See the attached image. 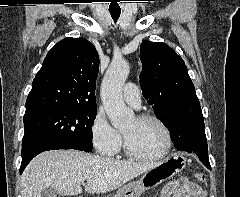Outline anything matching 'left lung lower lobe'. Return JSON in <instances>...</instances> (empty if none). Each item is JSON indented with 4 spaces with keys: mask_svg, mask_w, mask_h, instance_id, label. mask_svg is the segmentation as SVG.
Masks as SVG:
<instances>
[{
    "mask_svg": "<svg viewBox=\"0 0 240 197\" xmlns=\"http://www.w3.org/2000/svg\"><path fill=\"white\" fill-rule=\"evenodd\" d=\"M199 118L185 120L182 123V127L178 128L174 134H171L172 140L177 149L187 152H192L189 151L192 147L200 149L205 148L204 150L194 153L199 157L202 163L211 170L207 153L208 145L204 130V120L202 116Z\"/></svg>",
    "mask_w": 240,
    "mask_h": 197,
    "instance_id": "1",
    "label": "left lung lower lobe"
}]
</instances>
